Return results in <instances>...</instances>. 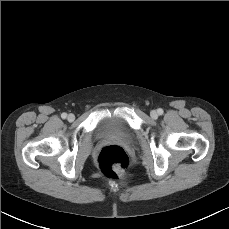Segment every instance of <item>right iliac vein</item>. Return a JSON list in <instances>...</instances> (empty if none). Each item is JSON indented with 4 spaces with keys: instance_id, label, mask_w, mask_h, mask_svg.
Wrapping results in <instances>:
<instances>
[{
    "instance_id": "63e3f726",
    "label": "right iliac vein",
    "mask_w": 229,
    "mask_h": 229,
    "mask_svg": "<svg viewBox=\"0 0 229 229\" xmlns=\"http://www.w3.org/2000/svg\"><path fill=\"white\" fill-rule=\"evenodd\" d=\"M68 121L72 122L75 119V116L73 114H69L67 117Z\"/></svg>"
}]
</instances>
